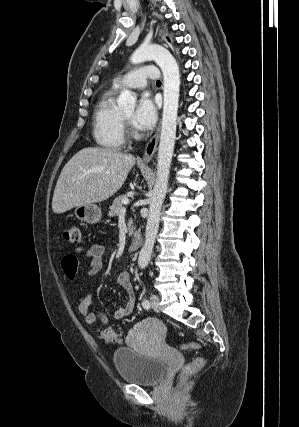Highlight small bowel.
<instances>
[{"label":"small bowel","instance_id":"obj_1","mask_svg":"<svg viewBox=\"0 0 299 427\" xmlns=\"http://www.w3.org/2000/svg\"><path fill=\"white\" fill-rule=\"evenodd\" d=\"M85 257L89 259V267L87 270L88 276H95L103 269L105 247L98 243H93L87 246L78 247L74 253L66 255L62 259V269L66 277L70 280L76 279L80 275V269L78 266L77 257ZM117 282L121 285L126 293L127 299L125 304L117 309L114 313L116 320H121L126 316L130 315L135 307V293L133 290L131 276L129 272L122 271L117 276ZM92 300L90 293L83 294L78 299L77 309L81 316L84 317L85 322L88 325H94L99 323L101 325H107L109 318L103 313H93L89 310V306Z\"/></svg>","mask_w":299,"mask_h":427}]
</instances>
